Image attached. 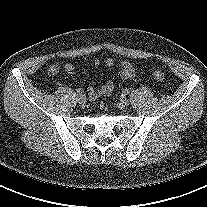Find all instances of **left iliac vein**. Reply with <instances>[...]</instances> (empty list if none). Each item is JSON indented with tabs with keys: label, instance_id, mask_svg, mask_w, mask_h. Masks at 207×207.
<instances>
[{
	"label": "left iliac vein",
	"instance_id": "1",
	"mask_svg": "<svg viewBox=\"0 0 207 207\" xmlns=\"http://www.w3.org/2000/svg\"><path fill=\"white\" fill-rule=\"evenodd\" d=\"M129 106V100L127 98H122L119 102H118V107L120 109H125Z\"/></svg>",
	"mask_w": 207,
	"mask_h": 207
}]
</instances>
